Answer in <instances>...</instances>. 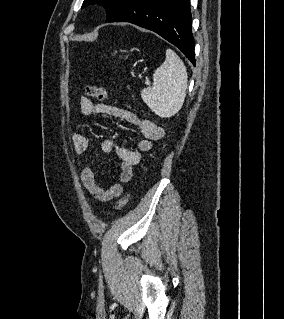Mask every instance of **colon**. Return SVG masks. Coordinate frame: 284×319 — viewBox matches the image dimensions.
<instances>
[{"label":"colon","mask_w":284,"mask_h":319,"mask_svg":"<svg viewBox=\"0 0 284 319\" xmlns=\"http://www.w3.org/2000/svg\"><path fill=\"white\" fill-rule=\"evenodd\" d=\"M85 93L94 99L99 101H105L107 99V92L103 87L98 85H87L85 88ZM130 194H126L121 197L114 206V210L122 209L129 201Z\"/></svg>","instance_id":"obj_1"}]
</instances>
